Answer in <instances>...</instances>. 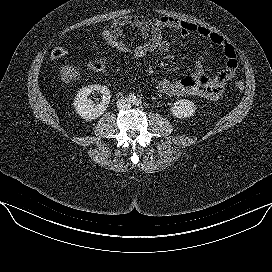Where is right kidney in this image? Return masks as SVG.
<instances>
[{
    "label": "right kidney",
    "mask_w": 272,
    "mask_h": 272,
    "mask_svg": "<svg viewBox=\"0 0 272 272\" xmlns=\"http://www.w3.org/2000/svg\"><path fill=\"white\" fill-rule=\"evenodd\" d=\"M95 91L102 94V99L98 104H95L89 98V95ZM110 97V90L107 87L99 84L89 85L78 92L73 105L81 118L85 120H93L100 117L105 112L110 102Z\"/></svg>",
    "instance_id": "obj_1"
}]
</instances>
